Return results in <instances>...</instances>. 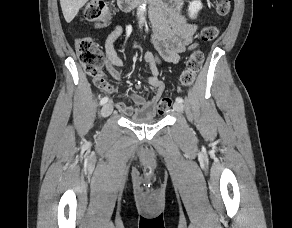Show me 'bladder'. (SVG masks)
Wrapping results in <instances>:
<instances>
[{"instance_id":"31cf9c89","label":"bladder","mask_w":292,"mask_h":228,"mask_svg":"<svg viewBox=\"0 0 292 228\" xmlns=\"http://www.w3.org/2000/svg\"><path fill=\"white\" fill-rule=\"evenodd\" d=\"M129 120L135 124H153L159 119L155 116H146L142 114L133 115Z\"/></svg>"}]
</instances>
